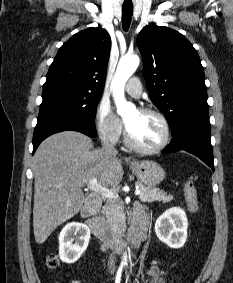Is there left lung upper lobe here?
Returning a JSON list of instances; mask_svg holds the SVG:
<instances>
[{"label": "left lung upper lobe", "instance_id": "1", "mask_svg": "<svg viewBox=\"0 0 233 283\" xmlns=\"http://www.w3.org/2000/svg\"><path fill=\"white\" fill-rule=\"evenodd\" d=\"M137 45L150 99L171 131L193 119H209L204 68L192 44L173 29L149 24Z\"/></svg>", "mask_w": 233, "mask_h": 283}]
</instances>
